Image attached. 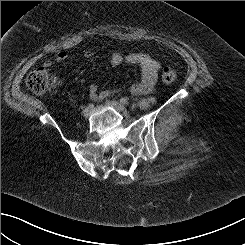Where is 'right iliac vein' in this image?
<instances>
[{"mask_svg":"<svg viewBox=\"0 0 245 245\" xmlns=\"http://www.w3.org/2000/svg\"><path fill=\"white\" fill-rule=\"evenodd\" d=\"M90 113H91V108L89 107H86L83 111H82V114L85 118H88L90 116Z\"/></svg>","mask_w":245,"mask_h":245,"instance_id":"1","label":"right iliac vein"}]
</instances>
